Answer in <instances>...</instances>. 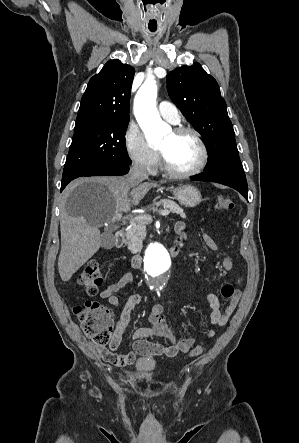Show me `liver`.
Listing matches in <instances>:
<instances>
[{"mask_svg":"<svg viewBox=\"0 0 299 443\" xmlns=\"http://www.w3.org/2000/svg\"><path fill=\"white\" fill-rule=\"evenodd\" d=\"M81 186L79 191L75 189ZM156 182L132 184L129 176L82 178L66 188L60 213L61 251L58 269L61 279L69 281L100 248L99 227L115 214L129 212ZM82 198L77 201L76 195Z\"/></svg>","mask_w":299,"mask_h":443,"instance_id":"6515ba94","label":"liver"}]
</instances>
